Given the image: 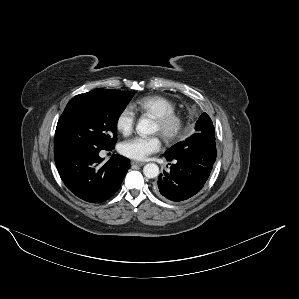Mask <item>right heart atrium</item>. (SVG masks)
<instances>
[{
  "label": "right heart atrium",
  "instance_id": "1",
  "mask_svg": "<svg viewBox=\"0 0 299 299\" xmlns=\"http://www.w3.org/2000/svg\"><path fill=\"white\" fill-rule=\"evenodd\" d=\"M136 115L129 106L123 107L116 116L115 128L118 133L126 136L129 135L135 126Z\"/></svg>",
  "mask_w": 299,
  "mask_h": 299
}]
</instances>
